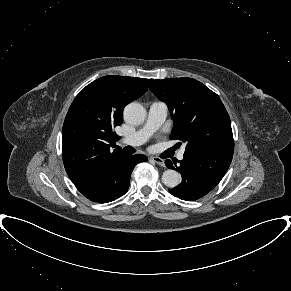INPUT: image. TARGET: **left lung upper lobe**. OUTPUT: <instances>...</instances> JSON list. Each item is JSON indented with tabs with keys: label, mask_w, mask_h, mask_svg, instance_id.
I'll return each mask as SVG.
<instances>
[{
	"label": "left lung upper lobe",
	"mask_w": 291,
	"mask_h": 291,
	"mask_svg": "<svg viewBox=\"0 0 291 291\" xmlns=\"http://www.w3.org/2000/svg\"><path fill=\"white\" fill-rule=\"evenodd\" d=\"M151 91L169 108L173 119L170 139L186 151H233L229 115L219 96L201 82L183 77L155 80Z\"/></svg>",
	"instance_id": "obj_1"
}]
</instances>
